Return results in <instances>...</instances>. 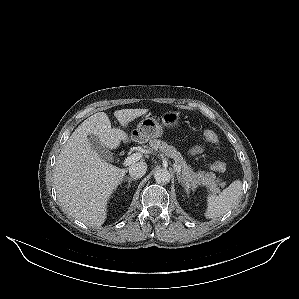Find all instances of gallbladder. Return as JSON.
<instances>
[{"label":"gallbladder","instance_id":"obj_1","mask_svg":"<svg viewBox=\"0 0 299 299\" xmlns=\"http://www.w3.org/2000/svg\"><path fill=\"white\" fill-rule=\"evenodd\" d=\"M88 140L92 150H94L100 157L107 160L112 159V154L107 149H105L96 135L89 134Z\"/></svg>","mask_w":299,"mask_h":299}]
</instances>
